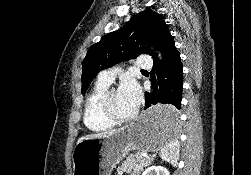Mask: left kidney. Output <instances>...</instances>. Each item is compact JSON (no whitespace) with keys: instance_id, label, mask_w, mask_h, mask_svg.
<instances>
[{"instance_id":"1","label":"left kidney","mask_w":251,"mask_h":175,"mask_svg":"<svg viewBox=\"0 0 251 175\" xmlns=\"http://www.w3.org/2000/svg\"><path fill=\"white\" fill-rule=\"evenodd\" d=\"M142 175H170V173L168 169L162 167V165H150V167H147V169L143 171Z\"/></svg>"}]
</instances>
